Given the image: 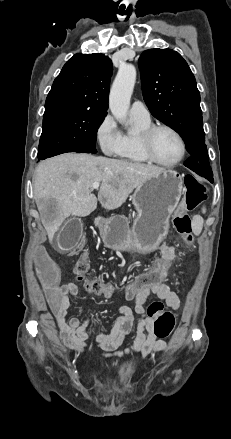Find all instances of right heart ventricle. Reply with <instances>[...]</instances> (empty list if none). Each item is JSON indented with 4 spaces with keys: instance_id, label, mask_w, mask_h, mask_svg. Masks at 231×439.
I'll return each mask as SVG.
<instances>
[{
    "instance_id": "1",
    "label": "right heart ventricle",
    "mask_w": 231,
    "mask_h": 439,
    "mask_svg": "<svg viewBox=\"0 0 231 439\" xmlns=\"http://www.w3.org/2000/svg\"><path fill=\"white\" fill-rule=\"evenodd\" d=\"M135 125V132H126L121 135V145L117 152V156L125 161L136 163V164H146L149 161L142 153L139 142V133L148 128L151 123L150 121H143L140 119L132 118Z\"/></svg>"
}]
</instances>
